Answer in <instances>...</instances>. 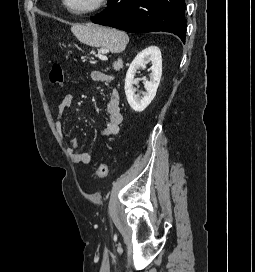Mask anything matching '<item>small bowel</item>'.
I'll return each instance as SVG.
<instances>
[{
    "instance_id": "c3829d8e",
    "label": "small bowel",
    "mask_w": 255,
    "mask_h": 272,
    "mask_svg": "<svg viewBox=\"0 0 255 272\" xmlns=\"http://www.w3.org/2000/svg\"><path fill=\"white\" fill-rule=\"evenodd\" d=\"M91 79L96 82L107 83L113 80V75L108 74L106 72L94 70L90 74ZM74 99V95L71 92L65 93L60 102L57 105V120H56V129L58 133L65 139L63 134L62 122L61 117L70 107ZM106 112H107V123L106 125L100 130V135L102 137H111L119 132L120 125L122 123V115L120 112V95L117 90H112L109 94L108 102L106 105ZM67 141L68 150L71 154L72 160L78 164L87 165L91 162V156L85 152H79L78 142L75 138L65 139Z\"/></svg>"
}]
</instances>
